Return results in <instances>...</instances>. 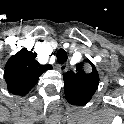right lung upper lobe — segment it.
Here are the masks:
<instances>
[{"label":"right lung upper lobe","mask_w":124,"mask_h":124,"mask_svg":"<svg viewBox=\"0 0 124 124\" xmlns=\"http://www.w3.org/2000/svg\"><path fill=\"white\" fill-rule=\"evenodd\" d=\"M36 56V53L23 48L8 59L4 79L12 94H27L38 82L40 75L52 69L51 65L39 64L35 59Z\"/></svg>","instance_id":"1"}]
</instances>
